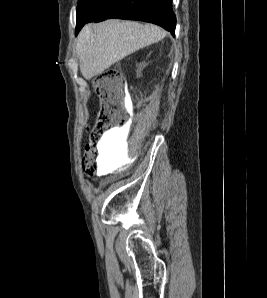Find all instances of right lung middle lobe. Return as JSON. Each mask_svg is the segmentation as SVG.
Listing matches in <instances>:
<instances>
[{
  "label": "right lung middle lobe",
  "mask_w": 267,
  "mask_h": 298,
  "mask_svg": "<svg viewBox=\"0 0 267 298\" xmlns=\"http://www.w3.org/2000/svg\"><path fill=\"white\" fill-rule=\"evenodd\" d=\"M103 0H79L77 6V25L86 21Z\"/></svg>",
  "instance_id": "obj_1"
}]
</instances>
